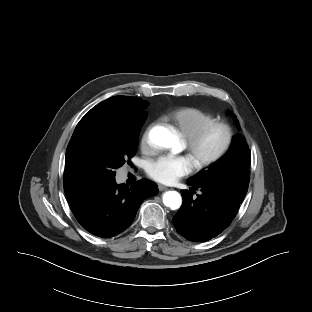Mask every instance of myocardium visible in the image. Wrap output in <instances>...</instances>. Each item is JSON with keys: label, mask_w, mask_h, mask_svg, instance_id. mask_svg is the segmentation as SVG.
Wrapping results in <instances>:
<instances>
[{"label": "myocardium", "mask_w": 312, "mask_h": 312, "mask_svg": "<svg viewBox=\"0 0 312 312\" xmlns=\"http://www.w3.org/2000/svg\"><path fill=\"white\" fill-rule=\"evenodd\" d=\"M215 129H221L224 132V141L222 145L213 154L204 157H199L197 155V150L199 146L205 140V138ZM233 140H234L233 128L228 122L224 120H214L205 125L204 127H202L197 132L184 138L186 150L188 151L197 169L207 168L217 163L219 160H221L230 150L233 144Z\"/></svg>", "instance_id": "f54148a6"}]
</instances>
